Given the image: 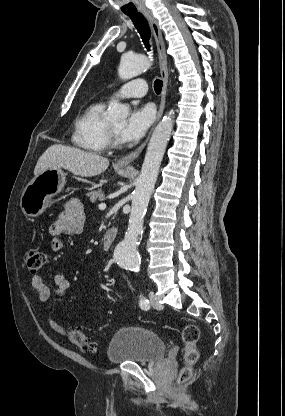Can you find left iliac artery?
<instances>
[{"instance_id": "1", "label": "left iliac artery", "mask_w": 285, "mask_h": 416, "mask_svg": "<svg viewBox=\"0 0 285 416\" xmlns=\"http://www.w3.org/2000/svg\"><path fill=\"white\" fill-rule=\"evenodd\" d=\"M140 307L144 310H148L150 308L149 306V300L146 299L143 295H140Z\"/></svg>"}]
</instances>
